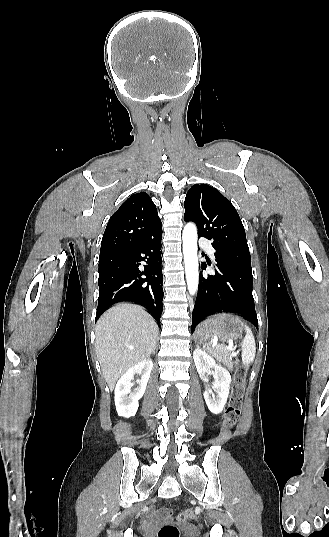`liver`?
Segmentation results:
<instances>
[{
    "label": "liver",
    "mask_w": 329,
    "mask_h": 537,
    "mask_svg": "<svg viewBox=\"0 0 329 537\" xmlns=\"http://www.w3.org/2000/svg\"><path fill=\"white\" fill-rule=\"evenodd\" d=\"M95 332L96 355L113 390L120 376L154 352L158 326L142 307L120 303L99 318Z\"/></svg>",
    "instance_id": "liver-1"
}]
</instances>
